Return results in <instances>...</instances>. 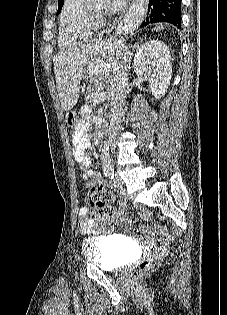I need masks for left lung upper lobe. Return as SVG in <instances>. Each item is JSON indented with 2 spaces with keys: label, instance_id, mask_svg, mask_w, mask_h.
I'll return each instance as SVG.
<instances>
[{
  "label": "left lung upper lobe",
  "instance_id": "left-lung-upper-lobe-1",
  "mask_svg": "<svg viewBox=\"0 0 227 315\" xmlns=\"http://www.w3.org/2000/svg\"><path fill=\"white\" fill-rule=\"evenodd\" d=\"M63 1H64V0H58V11H57V14H59L60 11H61V8H62V6H63Z\"/></svg>",
  "mask_w": 227,
  "mask_h": 315
}]
</instances>
